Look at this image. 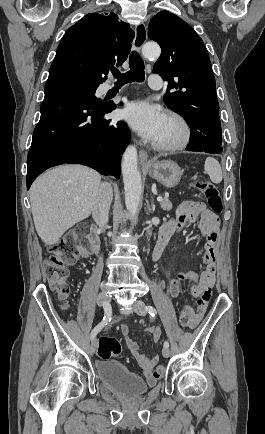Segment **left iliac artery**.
Wrapping results in <instances>:
<instances>
[{"label":"left iliac artery","mask_w":265,"mask_h":434,"mask_svg":"<svg viewBox=\"0 0 265 434\" xmlns=\"http://www.w3.org/2000/svg\"><path fill=\"white\" fill-rule=\"evenodd\" d=\"M146 311L150 314V316L155 317V315L157 314L156 309L153 306H146ZM164 347H169V342L165 341L164 342Z\"/></svg>","instance_id":"obj_1"}]
</instances>
